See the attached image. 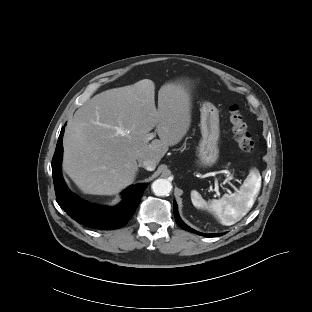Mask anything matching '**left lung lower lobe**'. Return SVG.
Wrapping results in <instances>:
<instances>
[{
  "mask_svg": "<svg viewBox=\"0 0 312 312\" xmlns=\"http://www.w3.org/2000/svg\"><path fill=\"white\" fill-rule=\"evenodd\" d=\"M174 216H175V220L177 222V224L183 228L184 230H187L189 232H195L201 236H205V237H216V236H220V235H223V234H203V233H199L197 231H195L194 229L190 228L189 226H187L182 220L181 218L179 217V214H178V208H177V204L176 202L174 201Z\"/></svg>",
  "mask_w": 312,
  "mask_h": 312,
  "instance_id": "1",
  "label": "left lung lower lobe"
}]
</instances>
